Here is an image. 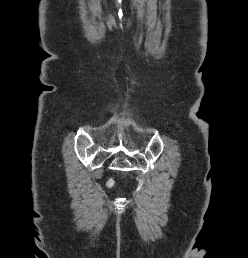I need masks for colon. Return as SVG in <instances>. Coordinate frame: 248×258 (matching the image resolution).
I'll use <instances>...</instances> for the list:
<instances>
[{"label":"colon","instance_id":"5ec220e1","mask_svg":"<svg viewBox=\"0 0 248 258\" xmlns=\"http://www.w3.org/2000/svg\"><path fill=\"white\" fill-rule=\"evenodd\" d=\"M108 185L109 186H111L112 185V181L110 180V181H108Z\"/></svg>","mask_w":248,"mask_h":258}]
</instances>
